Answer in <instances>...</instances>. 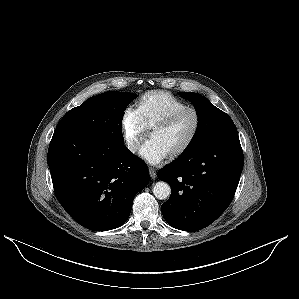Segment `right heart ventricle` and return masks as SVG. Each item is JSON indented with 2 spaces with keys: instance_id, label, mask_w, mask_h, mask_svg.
<instances>
[{
  "instance_id": "obj_1",
  "label": "right heart ventricle",
  "mask_w": 299,
  "mask_h": 299,
  "mask_svg": "<svg viewBox=\"0 0 299 299\" xmlns=\"http://www.w3.org/2000/svg\"><path fill=\"white\" fill-rule=\"evenodd\" d=\"M187 106L184 101L169 92L151 91L140 97L135 110L149 129L156 122Z\"/></svg>"
}]
</instances>
